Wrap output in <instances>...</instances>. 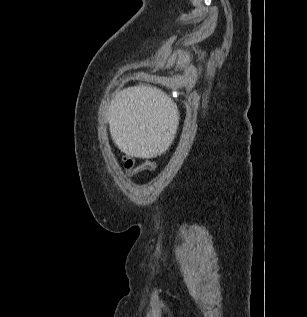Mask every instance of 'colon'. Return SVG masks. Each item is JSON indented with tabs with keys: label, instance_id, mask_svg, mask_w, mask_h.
<instances>
[{
	"label": "colon",
	"instance_id": "obj_1",
	"mask_svg": "<svg viewBox=\"0 0 307 317\" xmlns=\"http://www.w3.org/2000/svg\"><path fill=\"white\" fill-rule=\"evenodd\" d=\"M124 169L128 175H134L142 171L153 172L156 169V164L151 161H146L140 165H136V161L133 157L124 156L122 158Z\"/></svg>",
	"mask_w": 307,
	"mask_h": 317
}]
</instances>
